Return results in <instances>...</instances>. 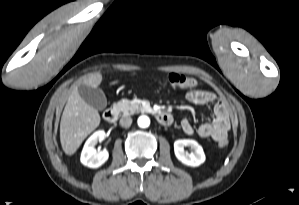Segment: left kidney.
<instances>
[{"instance_id": "1", "label": "left kidney", "mask_w": 299, "mask_h": 205, "mask_svg": "<svg viewBox=\"0 0 299 205\" xmlns=\"http://www.w3.org/2000/svg\"><path fill=\"white\" fill-rule=\"evenodd\" d=\"M185 146H190L193 152L186 153L184 151ZM174 153L177 159L187 166L197 167L205 161L203 148L192 139L176 140L174 142Z\"/></svg>"}]
</instances>
